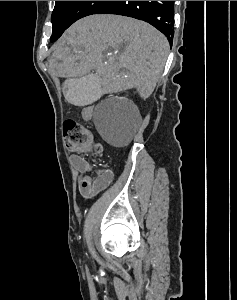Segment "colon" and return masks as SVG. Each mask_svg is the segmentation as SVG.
Wrapping results in <instances>:
<instances>
[{
  "instance_id": "1",
  "label": "colon",
  "mask_w": 237,
  "mask_h": 300,
  "mask_svg": "<svg viewBox=\"0 0 237 300\" xmlns=\"http://www.w3.org/2000/svg\"><path fill=\"white\" fill-rule=\"evenodd\" d=\"M63 130L65 144L69 151L81 154L102 152V146L93 141L91 131L80 123L67 121Z\"/></svg>"
}]
</instances>
